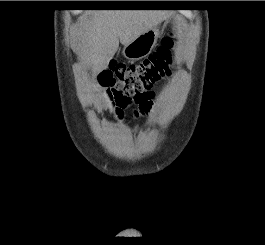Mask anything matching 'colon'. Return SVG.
Returning a JSON list of instances; mask_svg holds the SVG:
<instances>
[{"instance_id": "colon-1", "label": "colon", "mask_w": 265, "mask_h": 245, "mask_svg": "<svg viewBox=\"0 0 265 245\" xmlns=\"http://www.w3.org/2000/svg\"><path fill=\"white\" fill-rule=\"evenodd\" d=\"M174 39L165 36L156 52L137 64L111 62L99 74L104 96L112 109L122 112L134 103L146 111L151 102V88L168 77L174 66Z\"/></svg>"}]
</instances>
